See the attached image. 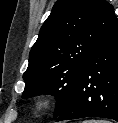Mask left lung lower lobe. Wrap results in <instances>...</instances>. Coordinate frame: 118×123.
I'll return each mask as SVG.
<instances>
[{
  "instance_id": "left-lung-lower-lobe-1",
  "label": "left lung lower lobe",
  "mask_w": 118,
  "mask_h": 123,
  "mask_svg": "<svg viewBox=\"0 0 118 123\" xmlns=\"http://www.w3.org/2000/svg\"><path fill=\"white\" fill-rule=\"evenodd\" d=\"M84 117L118 121V21L93 50L57 121Z\"/></svg>"
}]
</instances>
